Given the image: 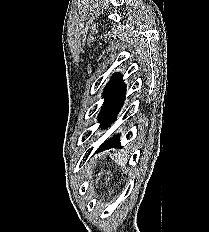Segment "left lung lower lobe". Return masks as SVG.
Returning <instances> with one entry per match:
<instances>
[{
  "label": "left lung lower lobe",
  "instance_id": "obj_1",
  "mask_svg": "<svg viewBox=\"0 0 209 232\" xmlns=\"http://www.w3.org/2000/svg\"><path fill=\"white\" fill-rule=\"evenodd\" d=\"M126 86L122 84L121 87L108 99L104 101V104L99 113L98 119L100 127L108 128L117 117L124 100H125ZM120 146L119 135H114L109 140L105 141L99 149H109L110 147Z\"/></svg>",
  "mask_w": 209,
  "mask_h": 232
}]
</instances>
